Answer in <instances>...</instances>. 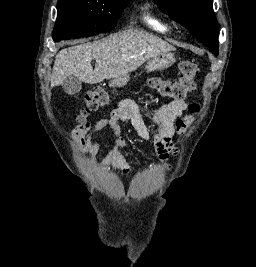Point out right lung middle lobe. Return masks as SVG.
<instances>
[{"label":"right lung middle lobe","instance_id":"1","mask_svg":"<svg viewBox=\"0 0 256 267\" xmlns=\"http://www.w3.org/2000/svg\"><path fill=\"white\" fill-rule=\"evenodd\" d=\"M129 0H59L53 40L90 36L116 26Z\"/></svg>","mask_w":256,"mask_h":267}]
</instances>
